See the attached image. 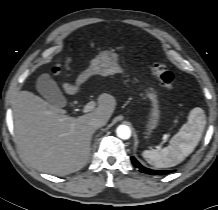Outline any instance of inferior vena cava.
<instances>
[{"label":"inferior vena cava","mask_w":218,"mask_h":210,"mask_svg":"<svg viewBox=\"0 0 218 210\" xmlns=\"http://www.w3.org/2000/svg\"><path fill=\"white\" fill-rule=\"evenodd\" d=\"M106 123H107V120L95 117L89 121V126L92 127L93 129H97V128L104 126Z\"/></svg>","instance_id":"obj_1"}]
</instances>
